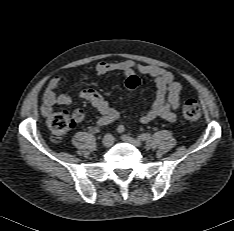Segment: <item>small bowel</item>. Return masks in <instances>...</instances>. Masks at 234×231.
<instances>
[{
    "label": "small bowel",
    "mask_w": 234,
    "mask_h": 231,
    "mask_svg": "<svg viewBox=\"0 0 234 231\" xmlns=\"http://www.w3.org/2000/svg\"><path fill=\"white\" fill-rule=\"evenodd\" d=\"M95 72L103 76L112 72H122L125 77L139 72L153 79L156 85V94L150 108L141 116L142 123H148L154 119L162 118L173 122L176 120V111L180 106V93L182 85L175 80L174 75L155 65L136 63L132 60L118 62L100 61L95 65ZM61 77H52L43 94L42 112L48 115L55 104L69 106L72 98L65 93H57L61 85ZM80 98L90 102L101 114V118L114 122L119 118V112L99 93L92 88H84L79 93ZM73 119L76 123H81L84 119V112L81 109L75 110Z\"/></svg>",
    "instance_id": "1"
}]
</instances>
